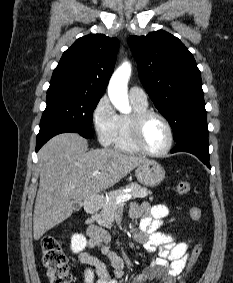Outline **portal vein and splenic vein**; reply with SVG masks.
<instances>
[{
  "label": "portal vein and splenic vein",
  "instance_id": "18ae733b",
  "mask_svg": "<svg viewBox=\"0 0 233 283\" xmlns=\"http://www.w3.org/2000/svg\"><path fill=\"white\" fill-rule=\"evenodd\" d=\"M99 174H100L99 171H94L92 173L93 176H96V175H99ZM131 197H132L131 194L120 195V196L116 197V202L117 203L125 202V201L129 200Z\"/></svg>",
  "mask_w": 233,
  "mask_h": 283
}]
</instances>
